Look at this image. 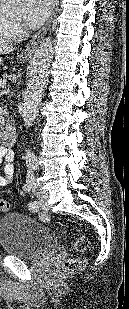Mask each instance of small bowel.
<instances>
[{
  "label": "small bowel",
  "mask_w": 129,
  "mask_h": 309,
  "mask_svg": "<svg viewBox=\"0 0 129 309\" xmlns=\"http://www.w3.org/2000/svg\"><path fill=\"white\" fill-rule=\"evenodd\" d=\"M13 161V151L6 146H0V165L3 164L2 174H0V187L7 186L12 182L14 175Z\"/></svg>",
  "instance_id": "1"
}]
</instances>
